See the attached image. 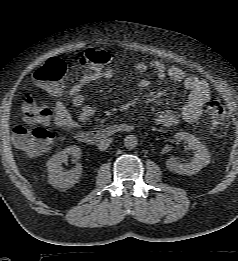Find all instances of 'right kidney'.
<instances>
[{"mask_svg":"<svg viewBox=\"0 0 238 261\" xmlns=\"http://www.w3.org/2000/svg\"><path fill=\"white\" fill-rule=\"evenodd\" d=\"M69 156H72L77 162L81 157V149L76 145L67 147L53 155L47 162L48 183L52 186L68 189L79 181L82 174L80 163H76L74 168L69 171H63L61 165L67 161Z\"/></svg>","mask_w":238,"mask_h":261,"instance_id":"right-kidney-1","label":"right kidney"}]
</instances>
